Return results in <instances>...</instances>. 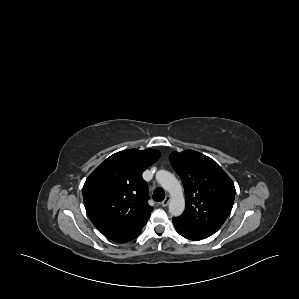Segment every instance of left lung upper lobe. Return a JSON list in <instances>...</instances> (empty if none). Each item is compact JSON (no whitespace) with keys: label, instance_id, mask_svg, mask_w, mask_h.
<instances>
[{"label":"left lung upper lobe","instance_id":"5c2ea615","mask_svg":"<svg viewBox=\"0 0 299 299\" xmlns=\"http://www.w3.org/2000/svg\"><path fill=\"white\" fill-rule=\"evenodd\" d=\"M170 162L183 181L186 208L177 217L188 227L216 232L231 212L235 187L211 158L193 150L172 152Z\"/></svg>","mask_w":299,"mask_h":299}]
</instances>
